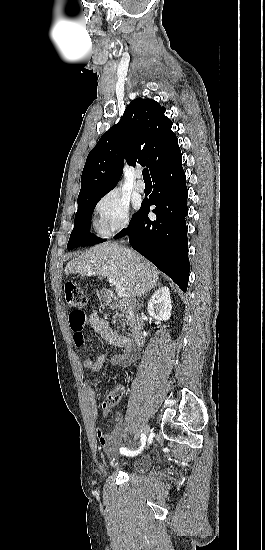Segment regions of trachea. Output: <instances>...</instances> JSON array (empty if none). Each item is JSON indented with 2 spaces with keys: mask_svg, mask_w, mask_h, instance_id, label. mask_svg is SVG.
I'll return each mask as SVG.
<instances>
[{
  "mask_svg": "<svg viewBox=\"0 0 265 550\" xmlns=\"http://www.w3.org/2000/svg\"><path fill=\"white\" fill-rule=\"evenodd\" d=\"M142 175L144 180H151L149 170L147 168L143 169Z\"/></svg>",
  "mask_w": 265,
  "mask_h": 550,
  "instance_id": "3493384b",
  "label": "trachea"
}]
</instances>
